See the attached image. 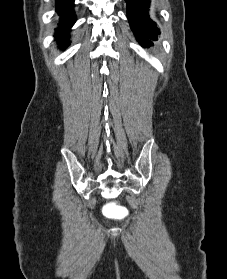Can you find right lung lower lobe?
<instances>
[{"instance_id": "obj_1", "label": "right lung lower lobe", "mask_w": 227, "mask_h": 279, "mask_svg": "<svg viewBox=\"0 0 227 279\" xmlns=\"http://www.w3.org/2000/svg\"><path fill=\"white\" fill-rule=\"evenodd\" d=\"M74 0H56V11L60 15L59 27L56 28L55 37L65 46L68 43L71 27L76 21L73 11Z\"/></svg>"}]
</instances>
